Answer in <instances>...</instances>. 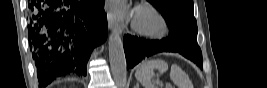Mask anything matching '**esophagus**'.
<instances>
[{
    "label": "esophagus",
    "instance_id": "1",
    "mask_svg": "<svg viewBox=\"0 0 267 88\" xmlns=\"http://www.w3.org/2000/svg\"><path fill=\"white\" fill-rule=\"evenodd\" d=\"M107 20L109 28L122 35V29L118 26V24L114 21L113 17L109 13L107 14Z\"/></svg>",
    "mask_w": 267,
    "mask_h": 88
}]
</instances>
